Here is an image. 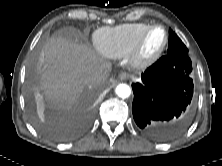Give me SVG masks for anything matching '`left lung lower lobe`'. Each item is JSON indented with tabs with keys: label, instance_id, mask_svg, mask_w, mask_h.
<instances>
[{
	"label": "left lung lower lobe",
	"instance_id": "obj_1",
	"mask_svg": "<svg viewBox=\"0 0 222 166\" xmlns=\"http://www.w3.org/2000/svg\"><path fill=\"white\" fill-rule=\"evenodd\" d=\"M191 72L188 55L167 54L142 73V82L132 84L133 117L147 136L166 139L185 124L193 96Z\"/></svg>",
	"mask_w": 222,
	"mask_h": 166
}]
</instances>
